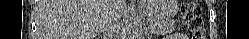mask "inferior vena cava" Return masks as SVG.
Instances as JSON below:
<instances>
[{
  "label": "inferior vena cava",
  "mask_w": 249,
  "mask_h": 39,
  "mask_svg": "<svg viewBox=\"0 0 249 39\" xmlns=\"http://www.w3.org/2000/svg\"><path fill=\"white\" fill-rule=\"evenodd\" d=\"M122 0H114V9L110 12V14L104 19L102 30L107 33L113 34L116 32V28L118 27V23L120 20V15L117 12V6L119 2Z\"/></svg>",
  "instance_id": "602c4592"
}]
</instances>
